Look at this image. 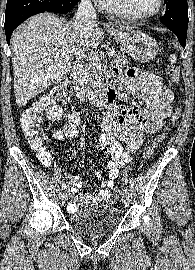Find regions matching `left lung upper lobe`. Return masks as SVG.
<instances>
[{"label":"left lung upper lobe","instance_id":"1","mask_svg":"<svg viewBox=\"0 0 195 270\" xmlns=\"http://www.w3.org/2000/svg\"><path fill=\"white\" fill-rule=\"evenodd\" d=\"M168 1H171V0H164V3L168 2Z\"/></svg>","mask_w":195,"mask_h":270}]
</instances>
